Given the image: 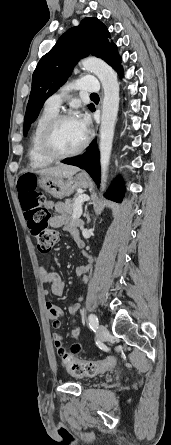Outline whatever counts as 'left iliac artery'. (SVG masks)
I'll list each match as a JSON object with an SVG mask.
<instances>
[{
  "instance_id": "left-iliac-artery-1",
  "label": "left iliac artery",
  "mask_w": 171,
  "mask_h": 445,
  "mask_svg": "<svg viewBox=\"0 0 171 445\" xmlns=\"http://www.w3.org/2000/svg\"><path fill=\"white\" fill-rule=\"evenodd\" d=\"M89 325L92 330H95L98 326V318L95 314H90L88 317Z\"/></svg>"
}]
</instances>
